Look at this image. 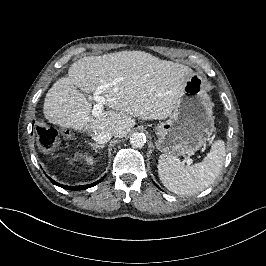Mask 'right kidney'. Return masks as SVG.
<instances>
[{"instance_id": "right-kidney-1", "label": "right kidney", "mask_w": 266, "mask_h": 266, "mask_svg": "<svg viewBox=\"0 0 266 266\" xmlns=\"http://www.w3.org/2000/svg\"><path fill=\"white\" fill-rule=\"evenodd\" d=\"M85 160L87 162V164H93L94 163V160H93V157L92 156H86L85 157Z\"/></svg>"}]
</instances>
